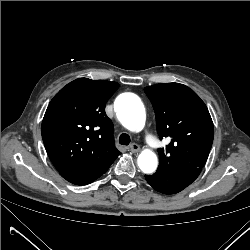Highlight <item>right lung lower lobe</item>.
<instances>
[{"label": "right lung lower lobe", "mask_w": 250, "mask_h": 250, "mask_svg": "<svg viewBox=\"0 0 250 250\" xmlns=\"http://www.w3.org/2000/svg\"><path fill=\"white\" fill-rule=\"evenodd\" d=\"M115 159L116 158H111L107 160L106 162H104L103 164H101L100 166L94 169H91L89 171L77 173V174H66V175H63L62 177L65 178L70 183H73L76 185L89 184L93 182L94 180H96L97 178H99L101 175H103L108 170V168L114 162Z\"/></svg>", "instance_id": "obj_1"}]
</instances>
